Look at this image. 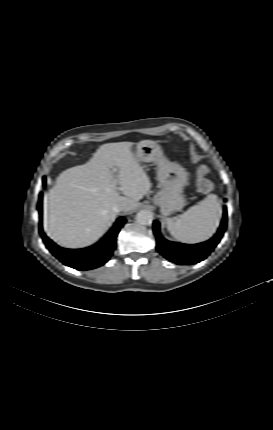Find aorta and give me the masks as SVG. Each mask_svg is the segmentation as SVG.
<instances>
[{"mask_svg": "<svg viewBox=\"0 0 273 430\" xmlns=\"http://www.w3.org/2000/svg\"><path fill=\"white\" fill-rule=\"evenodd\" d=\"M136 222L140 225H151L153 213L149 210H141L136 214Z\"/></svg>", "mask_w": 273, "mask_h": 430, "instance_id": "aorta-1", "label": "aorta"}]
</instances>
